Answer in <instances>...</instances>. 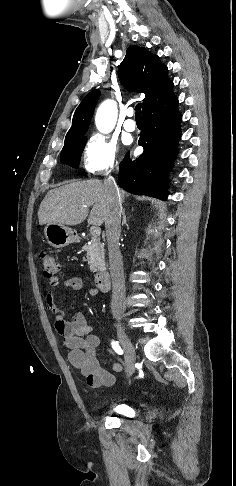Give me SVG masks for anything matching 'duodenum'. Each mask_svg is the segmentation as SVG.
<instances>
[{
  "label": "duodenum",
  "instance_id": "obj_1",
  "mask_svg": "<svg viewBox=\"0 0 236 486\" xmlns=\"http://www.w3.org/2000/svg\"><path fill=\"white\" fill-rule=\"evenodd\" d=\"M109 283H110L109 272L106 269L100 270L95 276V284L97 288L100 291L105 292L109 288Z\"/></svg>",
  "mask_w": 236,
  "mask_h": 486
}]
</instances>
